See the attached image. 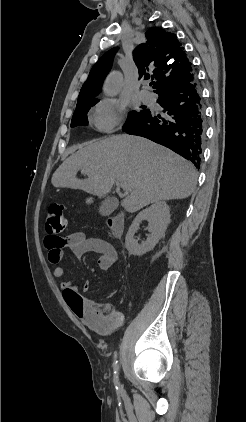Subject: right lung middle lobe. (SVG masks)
Instances as JSON below:
<instances>
[{
  "mask_svg": "<svg viewBox=\"0 0 246 422\" xmlns=\"http://www.w3.org/2000/svg\"><path fill=\"white\" fill-rule=\"evenodd\" d=\"M98 101L99 100L92 101V102H89V103H86V104H83L81 106L76 107L74 114H73V117H72L71 127H75V126H78V125H87L88 124L87 112ZM148 114H149V110H147V109H143L139 112H137V111L129 112L127 121L124 124L123 128L136 123L137 121L146 117Z\"/></svg>",
  "mask_w": 246,
  "mask_h": 422,
  "instance_id": "1",
  "label": "right lung middle lobe"
}]
</instances>
